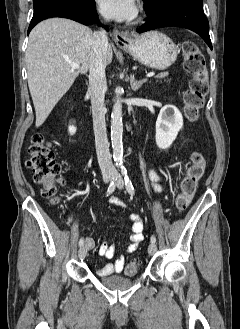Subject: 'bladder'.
<instances>
[{"mask_svg": "<svg viewBox=\"0 0 240 329\" xmlns=\"http://www.w3.org/2000/svg\"><path fill=\"white\" fill-rule=\"evenodd\" d=\"M100 282L105 287L118 290L131 286L134 282V278L112 275L108 277H103Z\"/></svg>", "mask_w": 240, "mask_h": 329, "instance_id": "bladder-1", "label": "bladder"}]
</instances>
